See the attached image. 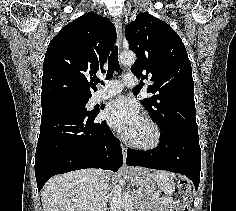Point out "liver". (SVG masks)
Returning a JSON list of instances; mask_svg holds the SVG:
<instances>
[{"label":"liver","instance_id":"obj_1","mask_svg":"<svg viewBox=\"0 0 236 211\" xmlns=\"http://www.w3.org/2000/svg\"><path fill=\"white\" fill-rule=\"evenodd\" d=\"M96 177L97 170L82 169L51 178L41 192L44 211H91Z\"/></svg>","mask_w":236,"mask_h":211}]
</instances>
